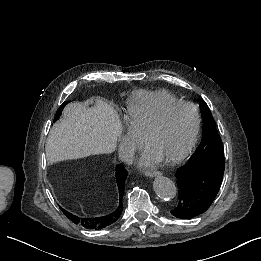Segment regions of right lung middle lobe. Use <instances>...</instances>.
Masks as SVG:
<instances>
[{
	"label": "right lung middle lobe",
	"mask_w": 261,
	"mask_h": 261,
	"mask_svg": "<svg viewBox=\"0 0 261 261\" xmlns=\"http://www.w3.org/2000/svg\"><path fill=\"white\" fill-rule=\"evenodd\" d=\"M67 103H69V101L64 102V103L59 107V109L57 110V113H56V115H55L54 122L59 119V117H60V115H61V112H62L63 108L65 107V105H66Z\"/></svg>",
	"instance_id": "dd1d6c3e"
}]
</instances>
